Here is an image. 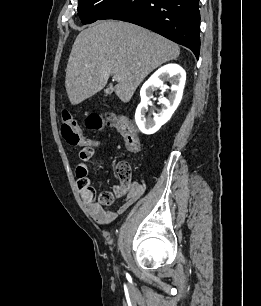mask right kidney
Listing matches in <instances>:
<instances>
[{"label": "right kidney", "instance_id": "1", "mask_svg": "<svg viewBox=\"0 0 261 306\" xmlns=\"http://www.w3.org/2000/svg\"><path fill=\"white\" fill-rule=\"evenodd\" d=\"M164 81L171 82V93L168 98L160 96L159 102L163 105L161 110L154 115V118H146L148 102L152 97L153 91L164 85ZM186 81V72L177 64H167L158 69L142 86L140 91L141 102L135 113V121L144 134H154L162 125H164L177 109L183 95V89Z\"/></svg>", "mask_w": 261, "mask_h": 306}]
</instances>
